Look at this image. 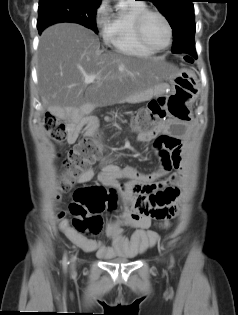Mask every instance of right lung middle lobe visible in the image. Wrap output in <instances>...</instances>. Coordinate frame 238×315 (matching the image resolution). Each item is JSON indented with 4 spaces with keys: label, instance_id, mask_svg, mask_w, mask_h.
Listing matches in <instances>:
<instances>
[{
    "label": "right lung middle lobe",
    "instance_id": "right-lung-middle-lobe-1",
    "mask_svg": "<svg viewBox=\"0 0 238 315\" xmlns=\"http://www.w3.org/2000/svg\"><path fill=\"white\" fill-rule=\"evenodd\" d=\"M101 0H39L37 28L41 33L49 25L75 22L96 34V10Z\"/></svg>",
    "mask_w": 238,
    "mask_h": 315
}]
</instances>
